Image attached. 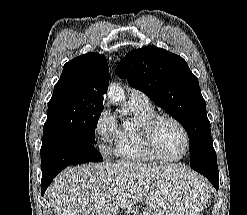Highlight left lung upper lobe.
Returning a JSON list of instances; mask_svg holds the SVG:
<instances>
[{"mask_svg": "<svg viewBox=\"0 0 247 215\" xmlns=\"http://www.w3.org/2000/svg\"><path fill=\"white\" fill-rule=\"evenodd\" d=\"M116 72L182 124L190 139V155L212 145L205 100L197 77L183 58L165 49L147 46L128 53Z\"/></svg>", "mask_w": 247, "mask_h": 215, "instance_id": "obj_1", "label": "left lung upper lobe"}]
</instances>
